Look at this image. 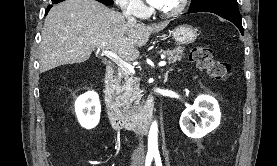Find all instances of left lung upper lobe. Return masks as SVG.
<instances>
[{"mask_svg":"<svg viewBox=\"0 0 277 166\" xmlns=\"http://www.w3.org/2000/svg\"><path fill=\"white\" fill-rule=\"evenodd\" d=\"M215 4L237 6V0H192L189 11Z\"/></svg>","mask_w":277,"mask_h":166,"instance_id":"left-lung-upper-lobe-1","label":"left lung upper lobe"}]
</instances>
